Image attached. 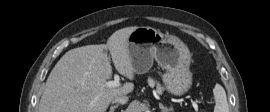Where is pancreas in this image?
Masks as SVG:
<instances>
[{"mask_svg":"<svg viewBox=\"0 0 270 112\" xmlns=\"http://www.w3.org/2000/svg\"><path fill=\"white\" fill-rule=\"evenodd\" d=\"M148 83L151 87H154L156 85V91L161 94L163 92V87L158 83L155 82L152 78H149Z\"/></svg>","mask_w":270,"mask_h":112,"instance_id":"1","label":"pancreas"}]
</instances>
